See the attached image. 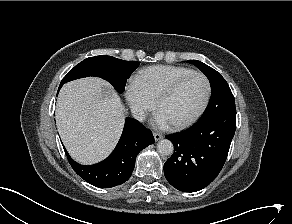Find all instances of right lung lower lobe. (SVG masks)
I'll return each mask as SVG.
<instances>
[{"mask_svg": "<svg viewBox=\"0 0 292 224\" xmlns=\"http://www.w3.org/2000/svg\"><path fill=\"white\" fill-rule=\"evenodd\" d=\"M153 143L154 138L150 130L137 120L126 118L124 130L116 148L104 161L89 166L80 165L69 156L65 148L64 150L73 170L81 178L93 186L110 188L126 182L131 177L137 154Z\"/></svg>", "mask_w": 292, "mask_h": 224, "instance_id": "right-lung-lower-lobe-1", "label": "right lung lower lobe"}]
</instances>
